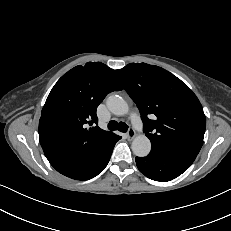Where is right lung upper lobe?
<instances>
[{
	"instance_id": "obj_1",
	"label": "right lung upper lobe",
	"mask_w": 231,
	"mask_h": 231,
	"mask_svg": "<svg viewBox=\"0 0 231 231\" xmlns=\"http://www.w3.org/2000/svg\"><path fill=\"white\" fill-rule=\"evenodd\" d=\"M122 89L117 71L101 62L76 66L57 81L41 112L39 139L58 172L90 159L115 136L97 126L96 110Z\"/></svg>"
}]
</instances>
